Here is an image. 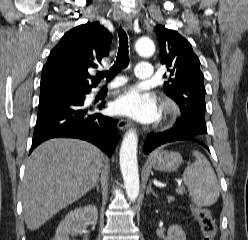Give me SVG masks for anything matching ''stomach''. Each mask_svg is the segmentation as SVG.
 Listing matches in <instances>:
<instances>
[{"mask_svg":"<svg viewBox=\"0 0 248 240\" xmlns=\"http://www.w3.org/2000/svg\"><path fill=\"white\" fill-rule=\"evenodd\" d=\"M150 165L160 171H174L182 163V157L174 151H156L149 157Z\"/></svg>","mask_w":248,"mask_h":240,"instance_id":"0dacf381","label":"stomach"}]
</instances>
